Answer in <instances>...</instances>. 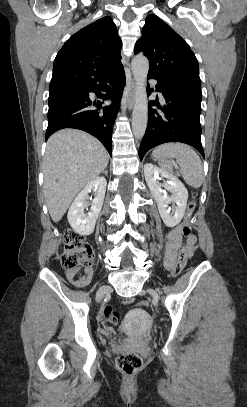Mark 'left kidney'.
I'll list each match as a JSON object with an SVG mask.
<instances>
[{
  "mask_svg": "<svg viewBox=\"0 0 247 407\" xmlns=\"http://www.w3.org/2000/svg\"><path fill=\"white\" fill-rule=\"evenodd\" d=\"M144 175L150 192L155 199L160 216L167 227H174L182 220L187 206L188 191L173 174L158 168L152 163L144 165ZM166 179L165 183L159 180ZM164 187V190L162 189ZM170 192V195L167 194ZM174 203V214H170L169 204Z\"/></svg>",
  "mask_w": 247,
  "mask_h": 407,
  "instance_id": "obj_1",
  "label": "left kidney"
}]
</instances>
